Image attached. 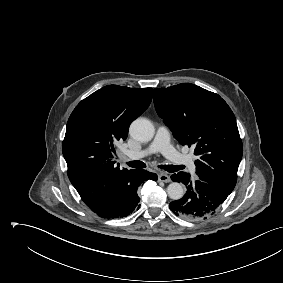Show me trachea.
I'll list each match as a JSON object with an SVG mask.
<instances>
[{
    "label": "trachea",
    "instance_id": "1",
    "mask_svg": "<svg viewBox=\"0 0 283 283\" xmlns=\"http://www.w3.org/2000/svg\"><path fill=\"white\" fill-rule=\"evenodd\" d=\"M127 165L129 167H132V168H145L146 167V164L142 161H130V162H127ZM159 168L161 169H164L168 172H177L181 169H183V166H177V165H159L158 166Z\"/></svg>",
    "mask_w": 283,
    "mask_h": 283
}]
</instances>
